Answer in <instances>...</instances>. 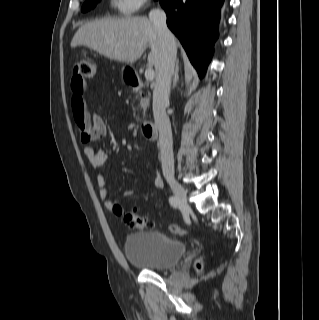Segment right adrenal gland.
Returning <instances> with one entry per match:
<instances>
[{"label":"right adrenal gland","mask_w":319,"mask_h":320,"mask_svg":"<svg viewBox=\"0 0 319 320\" xmlns=\"http://www.w3.org/2000/svg\"><path fill=\"white\" fill-rule=\"evenodd\" d=\"M178 80H179V60L176 61L175 72L173 77V88L176 87Z\"/></svg>","instance_id":"1"}]
</instances>
